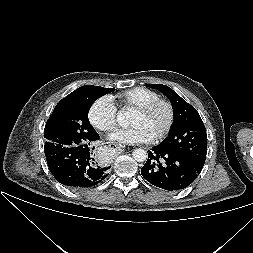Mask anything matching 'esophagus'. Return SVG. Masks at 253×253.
<instances>
[{"instance_id":"34e87169","label":"esophagus","mask_w":253,"mask_h":253,"mask_svg":"<svg viewBox=\"0 0 253 253\" xmlns=\"http://www.w3.org/2000/svg\"><path fill=\"white\" fill-rule=\"evenodd\" d=\"M106 146L114 152L121 151L120 147L115 143H107Z\"/></svg>"}]
</instances>
